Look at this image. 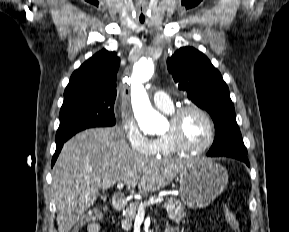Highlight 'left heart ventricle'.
Returning a JSON list of instances; mask_svg holds the SVG:
<instances>
[{
    "label": "left heart ventricle",
    "instance_id": "b2bd125f",
    "mask_svg": "<svg viewBox=\"0 0 289 232\" xmlns=\"http://www.w3.org/2000/svg\"><path fill=\"white\" fill-rule=\"evenodd\" d=\"M171 129V124L167 132ZM166 132V133H167ZM180 134L189 146H199L205 143L209 136V128L205 119L196 111L186 112L180 121Z\"/></svg>",
    "mask_w": 289,
    "mask_h": 232
}]
</instances>
